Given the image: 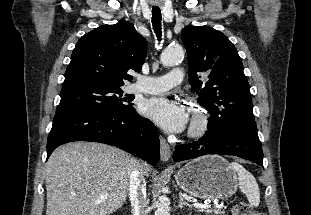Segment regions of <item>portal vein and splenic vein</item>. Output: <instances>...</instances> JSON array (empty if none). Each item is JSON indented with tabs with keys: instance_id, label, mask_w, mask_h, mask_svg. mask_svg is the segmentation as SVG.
I'll list each match as a JSON object with an SVG mask.
<instances>
[{
	"instance_id": "1",
	"label": "portal vein and splenic vein",
	"mask_w": 311,
	"mask_h": 215,
	"mask_svg": "<svg viewBox=\"0 0 311 215\" xmlns=\"http://www.w3.org/2000/svg\"><path fill=\"white\" fill-rule=\"evenodd\" d=\"M102 199H104V198L102 197L101 200ZM193 206L195 208H201V209L211 207V205L209 203H204V204H202V203H194Z\"/></svg>"
}]
</instances>
